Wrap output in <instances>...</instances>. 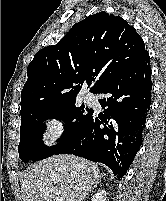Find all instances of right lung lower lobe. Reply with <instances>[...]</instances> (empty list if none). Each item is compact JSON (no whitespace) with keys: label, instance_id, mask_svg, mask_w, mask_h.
I'll list each match as a JSON object with an SVG mask.
<instances>
[{"label":"right lung lower lobe","instance_id":"98d812e1","mask_svg":"<svg viewBox=\"0 0 166 201\" xmlns=\"http://www.w3.org/2000/svg\"><path fill=\"white\" fill-rule=\"evenodd\" d=\"M151 67L145 54L133 67L105 83L96 93L104 115L94 112L55 154H74L107 165L120 179L142 144V130L151 105Z\"/></svg>","mask_w":166,"mask_h":201}]
</instances>
